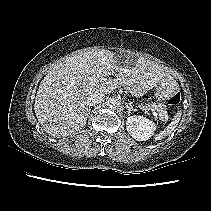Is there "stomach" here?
<instances>
[{"label": "stomach", "mask_w": 211, "mask_h": 211, "mask_svg": "<svg viewBox=\"0 0 211 211\" xmlns=\"http://www.w3.org/2000/svg\"><path fill=\"white\" fill-rule=\"evenodd\" d=\"M120 54L121 56H117L116 54L117 57L115 58V61L118 62L123 67H129L136 60V58H134L133 56L131 57L129 54H126V53L125 54L120 53ZM176 90H177V86L175 82L173 81L166 82L163 84H158L156 86V96L159 100H163L175 94ZM131 94L135 97L142 96L143 89H135L132 91Z\"/></svg>", "instance_id": "0dacf381"}]
</instances>
